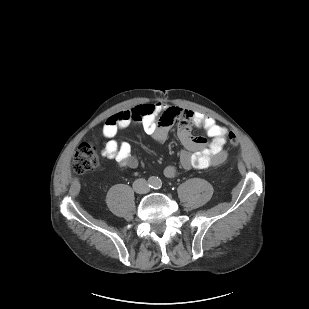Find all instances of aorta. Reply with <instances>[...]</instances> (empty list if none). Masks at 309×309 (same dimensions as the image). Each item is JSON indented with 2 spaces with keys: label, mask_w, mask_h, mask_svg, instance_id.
Listing matches in <instances>:
<instances>
[{
  "label": "aorta",
  "mask_w": 309,
  "mask_h": 309,
  "mask_svg": "<svg viewBox=\"0 0 309 309\" xmlns=\"http://www.w3.org/2000/svg\"><path fill=\"white\" fill-rule=\"evenodd\" d=\"M150 184L152 187H159L161 185V180L158 177H150Z\"/></svg>",
  "instance_id": "aorta-1"
}]
</instances>
